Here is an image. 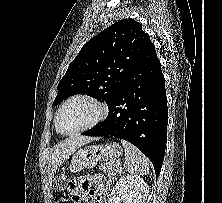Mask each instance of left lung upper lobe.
Listing matches in <instances>:
<instances>
[{"label":"left lung upper lobe","instance_id":"left-lung-upper-lobe-1","mask_svg":"<svg viewBox=\"0 0 222 203\" xmlns=\"http://www.w3.org/2000/svg\"><path fill=\"white\" fill-rule=\"evenodd\" d=\"M149 36L133 19H123L89 40L70 63L57 86L54 105L76 94H86L109 105L133 71Z\"/></svg>","mask_w":222,"mask_h":203}]
</instances>
